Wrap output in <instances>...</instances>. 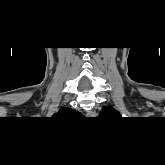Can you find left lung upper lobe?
<instances>
[{"instance_id":"5c2ea615","label":"left lung upper lobe","mask_w":165,"mask_h":165,"mask_svg":"<svg viewBox=\"0 0 165 165\" xmlns=\"http://www.w3.org/2000/svg\"><path fill=\"white\" fill-rule=\"evenodd\" d=\"M104 114H117L120 116V114L118 113V111H116L113 107H106L101 111L100 115H104Z\"/></svg>"}]
</instances>
